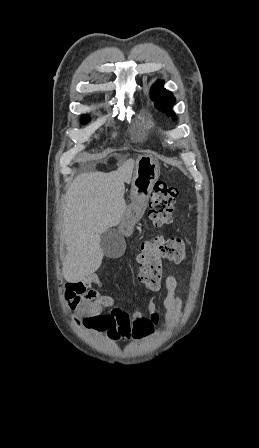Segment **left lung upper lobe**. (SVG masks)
<instances>
[{
	"mask_svg": "<svg viewBox=\"0 0 259 448\" xmlns=\"http://www.w3.org/2000/svg\"><path fill=\"white\" fill-rule=\"evenodd\" d=\"M164 83L162 81L156 82L154 87L151 89V98L155 101V106L164 112H167L168 115L174 116V120H176L175 113L172 111V105L174 104L175 98L173 94L168 90L163 88Z\"/></svg>",
	"mask_w": 259,
	"mask_h": 448,
	"instance_id": "5c2ea615",
	"label": "left lung upper lobe"
}]
</instances>
